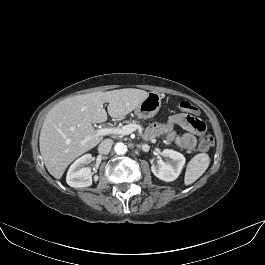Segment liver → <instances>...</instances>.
I'll use <instances>...</instances> for the list:
<instances>
[{"instance_id": "liver-1", "label": "liver", "mask_w": 265, "mask_h": 265, "mask_svg": "<svg viewBox=\"0 0 265 265\" xmlns=\"http://www.w3.org/2000/svg\"><path fill=\"white\" fill-rule=\"evenodd\" d=\"M148 94L144 90L124 88L77 95L56 104L48 112L39 138L40 153L48 172L60 179L72 161L102 141L92 124L107 120L104 103H109V116L121 118L135 110ZM88 137L91 139L82 144Z\"/></svg>"}]
</instances>
